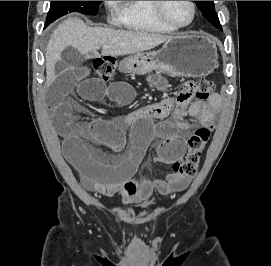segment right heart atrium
<instances>
[{
  "instance_id": "obj_1",
  "label": "right heart atrium",
  "mask_w": 271,
  "mask_h": 266,
  "mask_svg": "<svg viewBox=\"0 0 271 266\" xmlns=\"http://www.w3.org/2000/svg\"><path fill=\"white\" fill-rule=\"evenodd\" d=\"M104 2L110 11L117 9L119 6V1H104Z\"/></svg>"
}]
</instances>
